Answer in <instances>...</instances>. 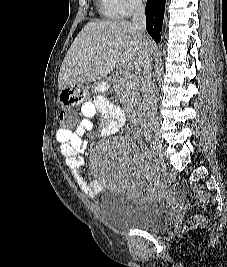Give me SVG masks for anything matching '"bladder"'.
Returning a JSON list of instances; mask_svg holds the SVG:
<instances>
[{
    "label": "bladder",
    "mask_w": 227,
    "mask_h": 267,
    "mask_svg": "<svg viewBox=\"0 0 227 267\" xmlns=\"http://www.w3.org/2000/svg\"><path fill=\"white\" fill-rule=\"evenodd\" d=\"M100 208L105 221L121 230H158L175 220L174 210L160 201L136 200L116 188L102 191Z\"/></svg>",
    "instance_id": "1"
}]
</instances>
